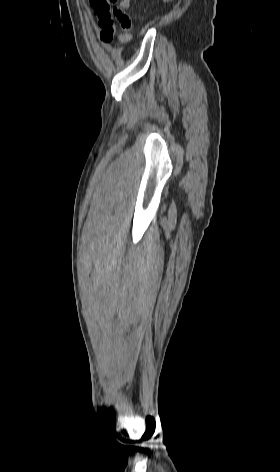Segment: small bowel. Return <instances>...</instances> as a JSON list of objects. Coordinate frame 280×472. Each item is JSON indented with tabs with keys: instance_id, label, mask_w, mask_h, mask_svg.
Instances as JSON below:
<instances>
[{
	"instance_id": "small-bowel-1",
	"label": "small bowel",
	"mask_w": 280,
	"mask_h": 472,
	"mask_svg": "<svg viewBox=\"0 0 280 472\" xmlns=\"http://www.w3.org/2000/svg\"><path fill=\"white\" fill-rule=\"evenodd\" d=\"M122 9H127L130 6V0H122L120 3ZM100 25V39L106 43L110 44L113 42L114 38L117 37L121 42H127L130 40V35L127 33H118L114 24L109 25Z\"/></svg>"
}]
</instances>
